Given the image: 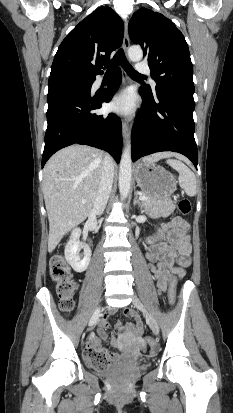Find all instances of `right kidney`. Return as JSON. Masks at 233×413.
<instances>
[{"instance_id":"1","label":"right kidney","mask_w":233,"mask_h":413,"mask_svg":"<svg viewBox=\"0 0 233 413\" xmlns=\"http://www.w3.org/2000/svg\"><path fill=\"white\" fill-rule=\"evenodd\" d=\"M80 235V228L73 229L70 239L65 247V259L71 265L73 270L78 273L84 272L87 269L92 255V251L89 246L80 242ZM80 249L84 250V256L82 259L79 254Z\"/></svg>"}]
</instances>
